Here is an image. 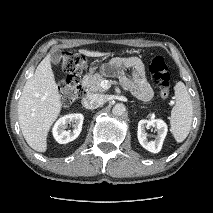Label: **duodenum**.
Wrapping results in <instances>:
<instances>
[{
  "label": "duodenum",
  "instance_id": "1",
  "mask_svg": "<svg viewBox=\"0 0 213 213\" xmlns=\"http://www.w3.org/2000/svg\"><path fill=\"white\" fill-rule=\"evenodd\" d=\"M81 86H82L83 92L85 93V84L82 83Z\"/></svg>",
  "mask_w": 213,
  "mask_h": 213
}]
</instances>
